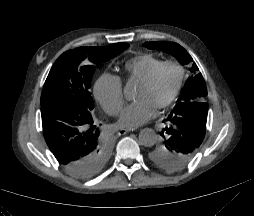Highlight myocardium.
I'll return each instance as SVG.
<instances>
[{"instance_id":"myocardium-1","label":"myocardium","mask_w":254,"mask_h":216,"mask_svg":"<svg viewBox=\"0 0 254 216\" xmlns=\"http://www.w3.org/2000/svg\"><path fill=\"white\" fill-rule=\"evenodd\" d=\"M167 67H172L176 70L177 72V79H176V83L175 86L170 94V96L161 104H159L157 106L158 109H165L167 107H169L176 99V97L178 96L182 83H183V79H184V67L183 65L176 61V60H167L162 62L155 70H153V72L143 81L140 82L141 86L144 87H150L152 86L155 81L157 80L158 76L160 75V73Z\"/></svg>"}]
</instances>
